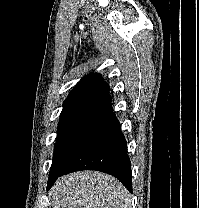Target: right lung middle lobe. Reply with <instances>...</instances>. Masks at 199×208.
I'll return each instance as SVG.
<instances>
[{"label": "right lung middle lobe", "instance_id": "right-lung-middle-lobe-1", "mask_svg": "<svg viewBox=\"0 0 199 208\" xmlns=\"http://www.w3.org/2000/svg\"><path fill=\"white\" fill-rule=\"evenodd\" d=\"M100 110L81 109L61 114L49 178L60 172L70 160Z\"/></svg>", "mask_w": 199, "mask_h": 208}]
</instances>
